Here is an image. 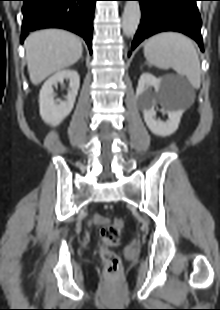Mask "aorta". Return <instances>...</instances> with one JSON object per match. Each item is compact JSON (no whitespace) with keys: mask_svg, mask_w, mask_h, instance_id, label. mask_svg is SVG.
Here are the masks:
<instances>
[{"mask_svg":"<svg viewBox=\"0 0 220 310\" xmlns=\"http://www.w3.org/2000/svg\"><path fill=\"white\" fill-rule=\"evenodd\" d=\"M141 10L138 1H127L122 16L123 32L126 37H132L139 25Z\"/></svg>","mask_w":220,"mask_h":310,"instance_id":"aorta-1","label":"aorta"}]
</instances>
